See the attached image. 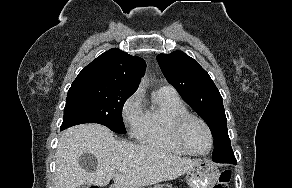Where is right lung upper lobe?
Here are the masks:
<instances>
[{"mask_svg":"<svg viewBox=\"0 0 292 188\" xmlns=\"http://www.w3.org/2000/svg\"><path fill=\"white\" fill-rule=\"evenodd\" d=\"M145 68L142 58L112 48L83 68L73 83H98L135 92Z\"/></svg>","mask_w":292,"mask_h":188,"instance_id":"1","label":"right lung upper lobe"}]
</instances>
